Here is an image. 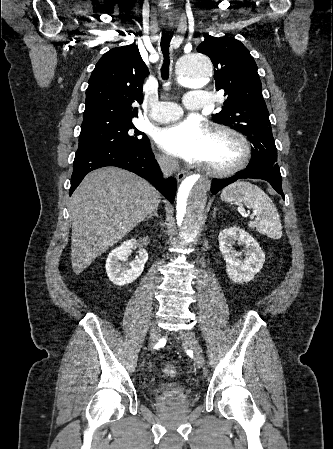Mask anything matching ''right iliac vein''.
I'll use <instances>...</instances> for the list:
<instances>
[{"instance_id": "right-iliac-vein-1", "label": "right iliac vein", "mask_w": 333, "mask_h": 449, "mask_svg": "<svg viewBox=\"0 0 333 449\" xmlns=\"http://www.w3.org/2000/svg\"><path fill=\"white\" fill-rule=\"evenodd\" d=\"M161 337L160 330L157 326H152L149 336V347L153 346Z\"/></svg>"}]
</instances>
